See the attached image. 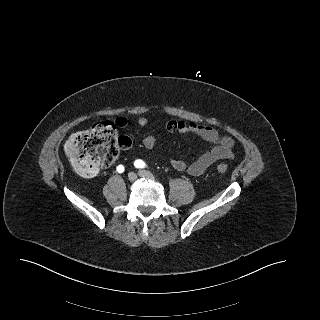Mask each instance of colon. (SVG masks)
Listing matches in <instances>:
<instances>
[{"instance_id": "colon-1", "label": "colon", "mask_w": 320, "mask_h": 320, "mask_svg": "<svg viewBox=\"0 0 320 320\" xmlns=\"http://www.w3.org/2000/svg\"><path fill=\"white\" fill-rule=\"evenodd\" d=\"M130 146L131 139L117 136L113 122L103 121L88 130L72 134L65 143V152L78 173L93 177L101 168L113 164L120 148L126 149ZM216 170L223 174L228 167L224 162H220Z\"/></svg>"}]
</instances>
